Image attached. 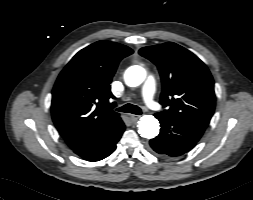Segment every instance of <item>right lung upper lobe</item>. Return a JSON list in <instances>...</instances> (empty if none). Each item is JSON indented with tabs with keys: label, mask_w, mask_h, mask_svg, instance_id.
Wrapping results in <instances>:
<instances>
[{
	"label": "right lung upper lobe",
	"mask_w": 253,
	"mask_h": 200,
	"mask_svg": "<svg viewBox=\"0 0 253 200\" xmlns=\"http://www.w3.org/2000/svg\"><path fill=\"white\" fill-rule=\"evenodd\" d=\"M133 50L98 41L79 51L60 73L52 92L53 122L71 149L95 141L118 126L119 113L107 106L111 79Z\"/></svg>",
	"instance_id": "obj_1"
}]
</instances>
